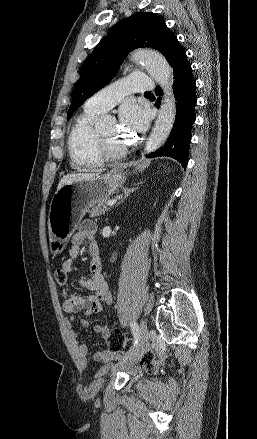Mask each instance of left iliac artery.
<instances>
[{
    "label": "left iliac artery",
    "mask_w": 257,
    "mask_h": 439,
    "mask_svg": "<svg viewBox=\"0 0 257 439\" xmlns=\"http://www.w3.org/2000/svg\"><path fill=\"white\" fill-rule=\"evenodd\" d=\"M131 330L134 336V346H135L138 343V339H139V326L136 322H131ZM125 359H127V357Z\"/></svg>",
    "instance_id": "left-iliac-artery-1"
}]
</instances>
